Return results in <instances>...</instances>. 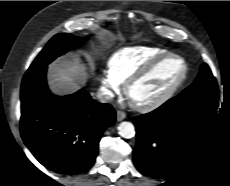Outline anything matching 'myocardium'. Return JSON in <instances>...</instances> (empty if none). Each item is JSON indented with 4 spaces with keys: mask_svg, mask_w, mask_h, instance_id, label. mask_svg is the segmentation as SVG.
<instances>
[{
    "mask_svg": "<svg viewBox=\"0 0 230 186\" xmlns=\"http://www.w3.org/2000/svg\"><path fill=\"white\" fill-rule=\"evenodd\" d=\"M169 58H175L182 63L183 68L181 74L169 85V87L162 94H160L155 99L144 103L134 102L130 96L131 89L133 88V86L139 81H141L142 79H144L146 76H148L160 63H162L163 61ZM187 75H188V64L185 61V59L177 54L167 52L165 54H162L154 58L148 64H146L142 69H140L139 71L131 75L125 82L124 92L127 98L129 99V101L131 102V104L133 105V107L136 108L137 110L142 112L153 111L159 108L160 106H162L163 104H165L174 95V93L185 81Z\"/></svg>",
    "mask_w": 230,
    "mask_h": 186,
    "instance_id": "myocardium-1",
    "label": "myocardium"
}]
</instances>
